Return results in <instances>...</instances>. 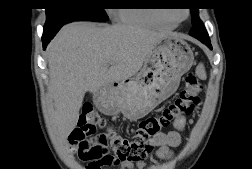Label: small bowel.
<instances>
[{"label": "small bowel", "mask_w": 252, "mask_h": 169, "mask_svg": "<svg viewBox=\"0 0 252 169\" xmlns=\"http://www.w3.org/2000/svg\"><path fill=\"white\" fill-rule=\"evenodd\" d=\"M186 120L184 117H179L174 122V131L163 133L155 137L151 141V145L157 148L156 154L160 159H167L171 156L172 148L177 147L180 144L181 136L180 132L184 130ZM144 169L145 163L138 162L133 164L131 162H124L120 165V169Z\"/></svg>", "instance_id": "small-bowel-1"}]
</instances>
